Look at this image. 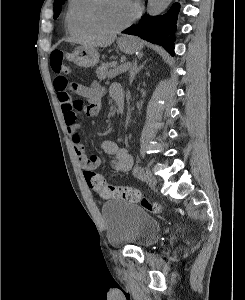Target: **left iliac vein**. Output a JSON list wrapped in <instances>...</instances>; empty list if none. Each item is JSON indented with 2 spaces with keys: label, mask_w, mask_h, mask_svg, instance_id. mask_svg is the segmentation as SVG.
<instances>
[{
  "label": "left iliac vein",
  "mask_w": 245,
  "mask_h": 300,
  "mask_svg": "<svg viewBox=\"0 0 245 300\" xmlns=\"http://www.w3.org/2000/svg\"><path fill=\"white\" fill-rule=\"evenodd\" d=\"M144 179L150 187L154 188L156 186L157 183L156 178L150 170L147 169L144 172Z\"/></svg>",
  "instance_id": "obj_1"
}]
</instances>
